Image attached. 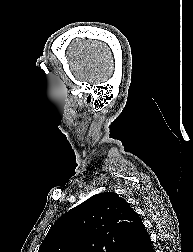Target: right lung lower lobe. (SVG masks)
<instances>
[{"label": "right lung lower lobe", "mask_w": 193, "mask_h": 252, "mask_svg": "<svg viewBox=\"0 0 193 252\" xmlns=\"http://www.w3.org/2000/svg\"><path fill=\"white\" fill-rule=\"evenodd\" d=\"M129 252H155L146 229L141 233L138 241L132 246Z\"/></svg>", "instance_id": "98d812e1"}]
</instances>
